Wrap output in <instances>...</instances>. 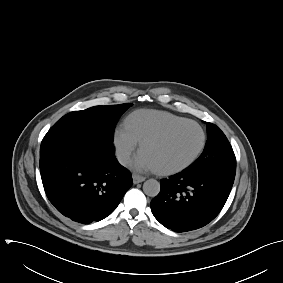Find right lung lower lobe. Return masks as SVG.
Returning <instances> with one entry per match:
<instances>
[{
  "label": "right lung lower lobe",
  "mask_w": 283,
  "mask_h": 283,
  "mask_svg": "<svg viewBox=\"0 0 283 283\" xmlns=\"http://www.w3.org/2000/svg\"><path fill=\"white\" fill-rule=\"evenodd\" d=\"M114 153L112 142L87 139L40 155L46 195L61 214L89 224L116 209L132 177Z\"/></svg>",
  "instance_id": "98d812e1"
}]
</instances>
